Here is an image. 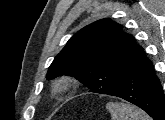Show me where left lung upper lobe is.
<instances>
[{
	"label": "left lung upper lobe",
	"mask_w": 165,
	"mask_h": 120,
	"mask_svg": "<svg viewBox=\"0 0 165 120\" xmlns=\"http://www.w3.org/2000/svg\"><path fill=\"white\" fill-rule=\"evenodd\" d=\"M139 45L109 18L98 20L73 35L55 57L47 79L74 76L90 92L109 94L122 82Z\"/></svg>",
	"instance_id": "left-lung-upper-lobe-1"
}]
</instances>
